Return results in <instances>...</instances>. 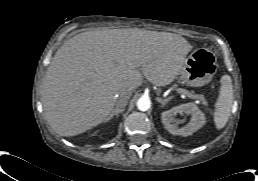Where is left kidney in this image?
Segmentation results:
<instances>
[{"label": "left kidney", "instance_id": "1", "mask_svg": "<svg viewBox=\"0 0 258 181\" xmlns=\"http://www.w3.org/2000/svg\"><path fill=\"white\" fill-rule=\"evenodd\" d=\"M178 113H185L190 115L192 121L186 126L179 128L177 126L178 122L175 119V116ZM162 123L164 124L165 128L173 135L189 136L193 132L199 130L205 124V116L195 104L186 103L164 111L162 113Z\"/></svg>", "mask_w": 258, "mask_h": 181}]
</instances>
